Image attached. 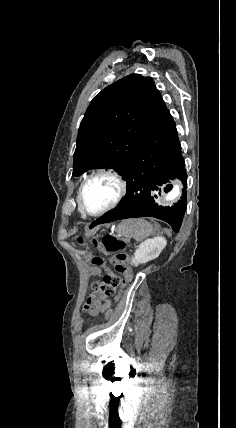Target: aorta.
<instances>
[{
  "mask_svg": "<svg viewBox=\"0 0 236 428\" xmlns=\"http://www.w3.org/2000/svg\"><path fill=\"white\" fill-rule=\"evenodd\" d=\"M181 193V188L178 184H175L173 186V189L166 195V200H174L176 199Z\"/></svg>",
  "mask_w": 236,
  "mask_h": 428,
  "instance_id": "762f6f07",
  "label": "aorta"
}]
</instances>
